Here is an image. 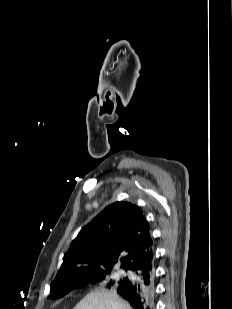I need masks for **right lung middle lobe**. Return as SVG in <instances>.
<instances>
[{"label":"right lung middle lobe","instance_id":"dd1d6c3e","mask_svg":"<svg viewBox=\"0 0 232 309\" xmlns=\"http://www.w3.org/2000/svg\"><path fill=\"white\" fill-rule=\"evenodd\" d=\"M110 273L111 270H100L81 275L70 281L56 283L55 286H51L50 295L63 297L75 287L87 285L89 283L106 282L109 287H116L125 279V277L109 279Z\"/></svg>","mask_w":232,"mask_h":309}]
</instances>
